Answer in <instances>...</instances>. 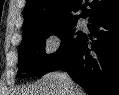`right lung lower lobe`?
<instances>
[{
	"mask_svg": "<svg viewBox=\"0 0 119 95\" xmlns=\"http://www.w3.org/2000/svg\"><path fill=\"white\" fill-rule=\"evenodd\" d=\"M88 25L83 37L50 70H64L90 95H119V11Z\"/></svg>",
	"mask_w": 119,
	"mask_h": 95,
	"instance_id": "right-lung-lower-lobe-1",
	"label": "right lung lower lobe"
}]
</instances>
